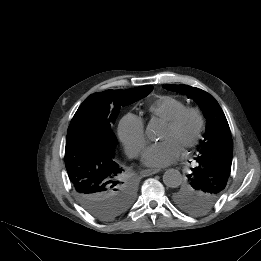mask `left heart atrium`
<instances>
[{
    "mask_svg": "<svg viewBox=\"0 0 261 261\" xmlns=\"http://www.w3.org/2000/svg\"><path fill=\"white\" fill-rule=\"evenodd\" d=\"M182 147L173 138L150 145L143 154V162L150 167H165L179 158Z\"/></svg>",
    "mask_w": 261,
    "mask_h": 261,
    "instance_id": "left-heart-atrium-1",
    "label": "left heart atrium"
}]
</instances>
